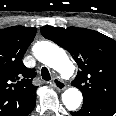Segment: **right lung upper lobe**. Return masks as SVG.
<instances>
[{"mask_svg":"<svg viewBox=\"0 0 116 116\" xmlns=\"http://www.w3.org/2000/svg\"><path fill=\"white\" fill-rule=\"evenodd\" d=\"M36 31L24 26L0 30V116H27L35 107L36 72L25 67L22 58Z\"/></svg>","mask_w":116,"mask_h":116,"instance_id":"cb5924a9","label":"right lung upper lobe"}]
</instances>
